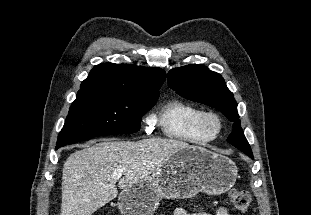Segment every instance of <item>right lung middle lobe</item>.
<instances>
[{"mask_svg": "<svg viewBox=\"0 0 311 215\" xmlns=\"http://www.w3.org/2000/svg\"><path fill=\"white\" fill-rule=\"evenodd\" d=\"M157 100L100 90L79 91L59 133L56 150L96 136L135 133L141 117Z\"/></svg>", "mask_w": 311, "mask_h": 215, "instance_id": "right-lung-middle-lobe-1", "label": "right lung middle lobe"}]
</instances>
